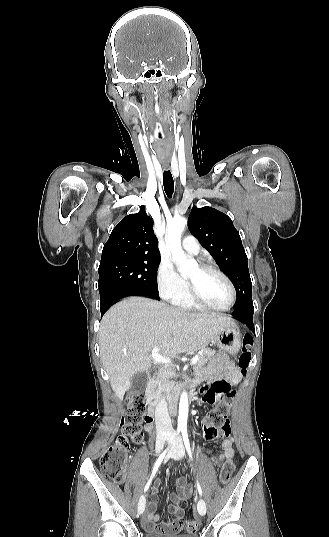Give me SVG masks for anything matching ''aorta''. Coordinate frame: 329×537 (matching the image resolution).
<instances>
[{
    "instance_id": "1",
    "label": "aorta",
    "mask_w": 329,
    "mask_h": 537,
    "mask_svg": "<svg viewBox=\"0 0 329 537\" xmlns=\"http://www.w3.org/2000/svg\"><path fill=\"white\" fill-rule=\"evenodd\" d=\"M187 225L184 217H175L167 225V243L172 255V259L181 273H189L192 269L197 268V262L194 258L188 257L181 246V234ZM189 410L188 395L183 391L179 401L178 426L186 428Z\"/></svg>"
}]
</instances>
